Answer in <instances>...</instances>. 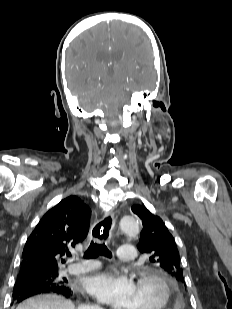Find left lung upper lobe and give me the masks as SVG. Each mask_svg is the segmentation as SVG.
<instances>
[{
    "instance_id": "obj_1",
    "label": "left lung upper lobe",
    "mask_w": 232,
    "mask_h": 309,
    "mask_svg": "<svg viewBox=\"0 0 232 309\" xmlns=\"http://www.w3.org/2000/svg\"><path fill=\"white\" fill-rule=\"evenodd\" d=\"M131 210L142 220L138 250L149 255V260L178 282L185 283L179 251L173 236L162 219L146 207L135 205Z\"/></svg>"
}]
</instances>
